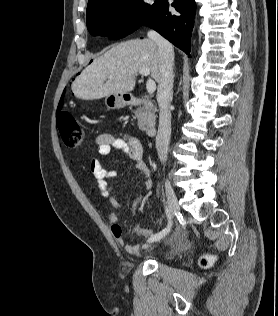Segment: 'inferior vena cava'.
Masks as SVG:
<instances>
[{
	"mask_svg": "<svg viewBox=\"0 0 278 316\" xmlns=\"http://www.w3.org/2000/svg\"><path fill=\"white\" fill-rule=\"evenodd\" d=\"M148 38L157 43L161 61V79L158 85L157 101L160 109L159 127L156 136V148L161 162L167 159V151L171 136V112L169 104L172 100L173 61L172 45L156 31L148 32Z\"/></svg>",
	"mask_w": 278,
	"mask_h": 316,
	"instance_id": "602c4592",
	"label": "inferior vena cava"
}]
</instances>
